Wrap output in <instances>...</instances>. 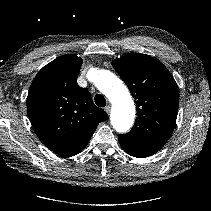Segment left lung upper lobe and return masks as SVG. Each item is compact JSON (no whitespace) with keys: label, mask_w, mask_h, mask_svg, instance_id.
<instances>
[{"label":"left lung upper lobe","mask_w":211,"mask_h":211,"mask_svg":"<svg viewBox=\"0 0 211 211\" xmlns=\"http://www.w3.org/2000/svg\"><path fill=\"white\" fill-rule=\"evenodd\" d=\"M112 66L128 86L137 107L135 124L124 136L167 142L179 106V91L173 76L161 62L143 54L115 59Z\"/></svg>","instance_id":"left-lung-upper-lobe-1"}]
</instances>
